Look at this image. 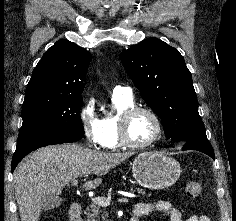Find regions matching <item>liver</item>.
I'll use <instances>...</instances> for the list:
<instances>
[{
    "instance_id": "liver-1",
    "label": "liver",
    "mask_w": 236,
    "mask_h": 221,
    "mask_svg": "<svg viewBox=\"0 0 236 221\" xmlns=\"http://www.w3.org/2000/svg\"><path fill=\"white\" fill-rule=\"evenodd\" d=\"M129 152H100L77 144L53 145L27 156L13 174L15 197L21 221H38L47 195L58 196L63 188L82 175H95L84 183L86 190L95 189L101 176L131 157Z\"/></svg>"
}]
</instances>
